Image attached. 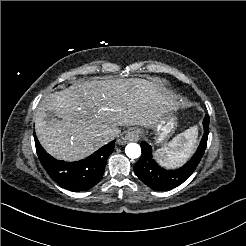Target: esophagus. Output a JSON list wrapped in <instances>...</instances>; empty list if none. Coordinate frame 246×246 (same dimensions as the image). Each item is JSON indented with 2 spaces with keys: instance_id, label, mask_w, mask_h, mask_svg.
I'll return each mask as SVG.
<instances>
[{
  "instance_id": "obj_1",
  "label": "esophagus",
  "mask_w": 246,
  "mask_h": 246,
  "mask_svg": "<svg viewBox=\"0 0 246 246\" xmlns=\"http://www.w3.org/2000/svg\"><path fill=\"white\" fill-rule=\"evenodd\" d=\"M139 138H140V133L135 128H131L125 135V140L127 141H138Z\"/></svg>"
}]
</instances>
